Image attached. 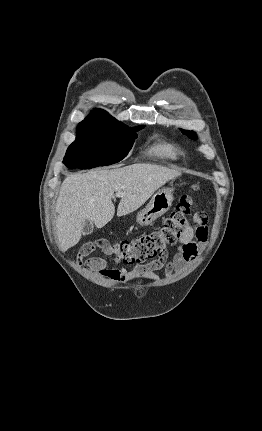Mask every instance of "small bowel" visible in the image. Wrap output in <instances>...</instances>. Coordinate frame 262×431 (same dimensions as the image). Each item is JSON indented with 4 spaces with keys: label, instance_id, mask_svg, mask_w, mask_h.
Returning a JSON list of instances; mask_svg holds the SVG:
<instances>
[{
    "label": "small bowel",
    "instance_id": "small-bowel-1",
    "mask_svg": "<svg viewBox=\"0 0 262 431\" xmlns=\"http://www.w3.org/2000/svg\"><path fill=\"white\" fill-rule=\"evenodd\" d=\"M209 230L205 224H201L197 217H194L191 224L187 226L178 240L177 253L172 260L167 256L146 263L137 264L132 268L111 266L102 258L93 257L88 260V267L118 283H128L136 279H152L154 273L166 267V276L170 277L175 270L182 271L198 257L201 248L208 240Z\"/></svg>",
    "mask_w": 262,
    "mask_h": 431
}]
</instances>
